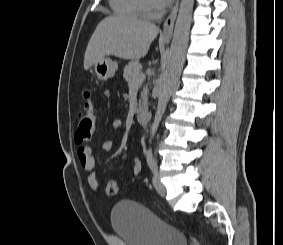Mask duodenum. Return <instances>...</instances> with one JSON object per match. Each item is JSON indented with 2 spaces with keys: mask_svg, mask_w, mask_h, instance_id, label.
<instances>
[{
  "mask_svg": "<svg viewBox=\"0 0 283 245\" xmlns=\"http://www.w3.org/2000/svg\"><path fill=\"white\" fill-rule=\"evenodd\" d=\"M137 120L141 125L147 126L151 121V114L149 112H145V111L140 112L137 115Z\"/></svg>",
  "mask_w": 283,
  "mask_h": 245,
  "instance_id": "duodenum-1",
  "label": "duodenum"
}]
</instances>
